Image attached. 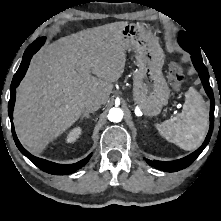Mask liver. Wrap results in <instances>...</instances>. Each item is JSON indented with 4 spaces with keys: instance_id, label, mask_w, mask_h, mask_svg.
I'll use <instances>...</instances> for the list:
<instances>
[{
    "instance_id": "obj_1",
    "label": "liver",
    "mask_w": 221,
    "mask_h": 221,
    "mask_svg": "<svg viewBox=\"0 0 221 221\" xmlns=\"http://www.w3.org/2000/svg\"><path fill=\"white\" fill-rule=\"evenodd\" d=\"M127 24L82 30L35 55L17 88L14 108L22 144L40 153L78 120L89 98L107 103L112 83L124 72L128 49L122 31Z\"/></svg>"
}]
</instances>
